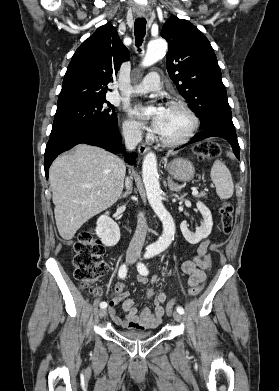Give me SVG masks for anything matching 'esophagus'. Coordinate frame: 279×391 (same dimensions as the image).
Segmentation results:
<instances>
[{
	"instance_id": "obj_1",
	"label": "esophagus",
	"mask_w": 279,
	"mask_h": 391,
	"mask_svg": "<svg viewBox=\"0 0 279 391\" xmlns=\"http://www.w3.org/2000/svg\"><path fill=\"white\" fill-rule=\"evenodd\" d=\"M149 150V147L145 146L144 144H141L138 148V151L141 155H144Z\"/></svg>"
}]
</instances>
